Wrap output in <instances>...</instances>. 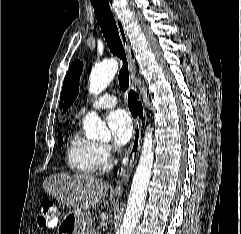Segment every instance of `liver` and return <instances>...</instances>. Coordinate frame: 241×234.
<instances>
[{"instance_id": "6515ba94", "label": "liver", "mask_w": 241, "mask_h": 234, "mask_svg": "<svg viewBox=\"0 0 241 234\" xmlns=\"http://www.w3.org/2000/svg\"><path fill=\"white\" fill-rule=\"evenodd\" d=\"M44 190L67 207L95 209L109 190V184L88 174H54L43 182Z\"/></svg>"}]
</instances>
